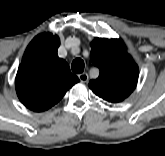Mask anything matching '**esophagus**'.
I'll use <instances>...</instances> for the list:
<instances>
[{"label":"esophagus","mask_w":165,"mask_h":156,"mask_svg":"<svg viewBox=\"0 0 165 156\" xmlns=\"http://www.w3.org/2000/svg\"><path fill=\"white\" fill-rule=\"evenodd\" d=\"M78 78L81 82H87L89 79V76L87 73H81L78 75Z\"/></svg>","instance_id":"34e87169"}]
</instances>
